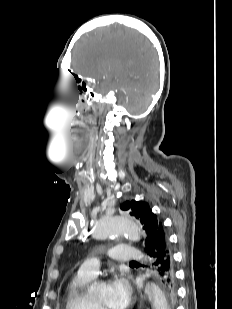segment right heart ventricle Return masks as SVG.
<instances>
[{
	"instance_id": "obj_1",
	"label": "right heart ventricle",
	"mask_w": 232,
	"mask_h": 309,
	"mask_svg": "<svg viewBox=\"0 0 232 309\" xmlns=\"http://www.w3.org/2000/svg\"><path fill=\"white\" fill-rule=\"evenodd\" d=\"M92 277L77 273L67 286L66 309H96L87 286Z\"/></svg>"
}]
</instances>
